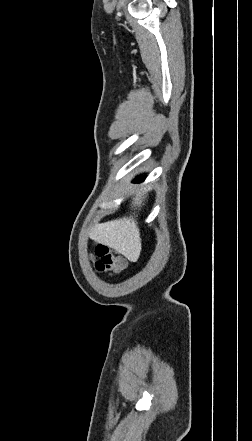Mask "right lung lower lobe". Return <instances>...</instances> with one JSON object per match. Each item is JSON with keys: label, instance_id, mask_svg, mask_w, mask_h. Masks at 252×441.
Returning <instances> with one entry per match:
<instances>
[{"label": "right lung lower lobe", "instance_id": "right-lung-lower-lobe-1", "mask_svg": "<svg viewBox=\"0 0 252 441\" xmlns=\"http://www.w3.org/2000/svg\"><path fill=\"white\" fill-rule=\"evenodd\" d=\"M143 179H144L143 176H139V177H137V179L135 180V182H139V181H141V180H143Z\"/></svg>", "mask_w": 252, "mask_h": 441}]
</instances>
